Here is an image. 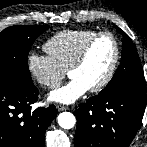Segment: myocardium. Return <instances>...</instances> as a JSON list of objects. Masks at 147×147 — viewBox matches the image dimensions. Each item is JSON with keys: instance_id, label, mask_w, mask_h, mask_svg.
<instances>
[{"instance_id": "myocardium-1", "label": "myocardium", "mask_w": 147, "mask_h": 147, "mask_svg": "<svg viewBox=\"0 0 147 147\" xmlns=\"http://www.w3.org/2000/svg\"><path fill=\"white\" fill-rule=\"evenodd\" d=\"M104 36H108L111 38V40L113 41L114 44V49H115V53H114V58L112 61V64L107 72V74L105 75V77L94 87L90 88L89 91L92 93H97L100 92L102 90H104L112 81V79L115 76V73L117 71L119 62H120V58H121V48H120V44L119 41L117 39V37L110 31H100L95 33L92 37H90L86 43L83 45V47L81 48L80 52L78 53L77 57L75 58V60L72 62V64L69 66L67 73L70 76L71 72L76 70L77 68H79L80 66H82V64L85 62L88 53L91 49V47L93 46V44L101 37Z\"/></svg>"}]
</instances>
